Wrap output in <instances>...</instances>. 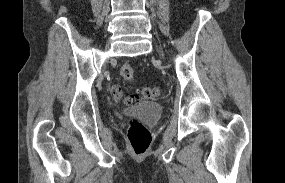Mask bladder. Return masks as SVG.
<instances>
[{
    "instance_id": "obj_1",
    "label": "bladder",
    "mask_w": 285,
    "mask_h": 183,
    "mask_svg": "<svg viewBox=\"0 0 285 183\" xmlns=\"http://www.w3.org/2000/svg\"><path fill=\"white\" fill-rule=\"evenodd\" d=\"M125 114L138 117L148 124H154L162 116L163 109L159 104L144 102L126 108Z\"/></svg>"
}]
</instances>
